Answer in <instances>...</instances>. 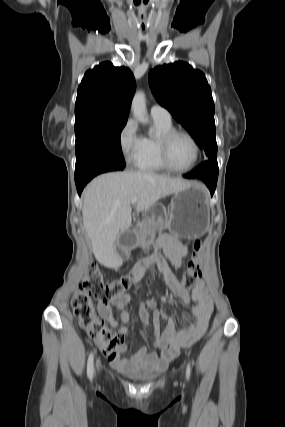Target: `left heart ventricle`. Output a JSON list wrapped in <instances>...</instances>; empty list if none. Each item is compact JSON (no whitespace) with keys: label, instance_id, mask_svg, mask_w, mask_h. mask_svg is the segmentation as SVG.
I'll list each match as a JSON object with an SVG mask.
<instances>
[{"label":"left heart ventricle","instance_id":"b2bd125f","mask_svg":"<svg viewBox=\"0 0 285 427\" xmlns=\"http://www.w3.org/2000/svg\"><path fill=\"white\" fill-rule=\"evenodd\" d=\"M194 146L191 141L183 136H176L169 147L170 163L178 169L188 167L194 159Z\"/></svg>","mask_w":285,"mask_h":427}]
</instances>
